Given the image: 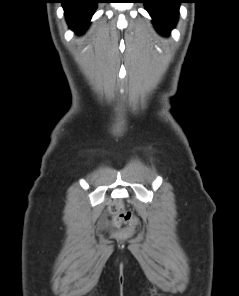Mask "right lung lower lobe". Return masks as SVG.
Listing matches in <instances>:
<instances>
[{
  "mask_svg": "<svg viewBox=\"0 0 239 296\" xmlns=\"http://www.w3.org/2000/svg\"><path fill=\"white\" fill-rule=\"evenodd\" d=\"M100 0H61L69 27L83 33Z\"/></svg>",
  "mask_w": 239,
  "mask_h": 296,
  "instance_id": "obj_1",
  "label": "right lung lower lobe"
}]
</instances>
